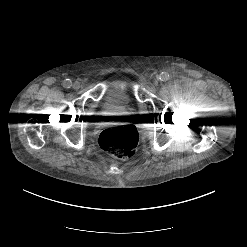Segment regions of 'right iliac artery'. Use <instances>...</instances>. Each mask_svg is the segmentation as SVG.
Masks as SVG:
<instances>
[{"mask_svg": "<svg viewBox=\"0 0 247 247\" xmlns=\"http://www.w3.org/2000/svg\"><path fill=\"white\" fill-rule=\"evenodd\" d=\"M63 85H64L65 88H70L71 85H72V82H71V80L66 79V80L64 81Z\"/></svg>", "mask_w": 247, "mask_h": 247, "instance_id": "obj_1", "label": "right iliac artery"}]
</instances>
